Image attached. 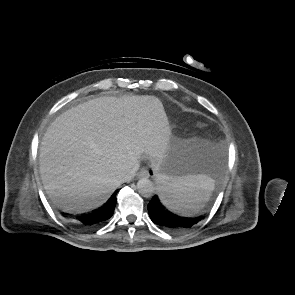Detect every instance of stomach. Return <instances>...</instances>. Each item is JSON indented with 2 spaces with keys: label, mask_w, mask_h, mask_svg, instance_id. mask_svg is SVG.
<instances>
[{
  "label": "stomach",
  "mask_w": 295,
  "mask_h": 295,
  "mask_svg": "<svg viewBox=\"0 0 295 295\" xmlns=\"http://www.w3.org/2000/svg\"><path fill=\"white\" fill-rule=\"evenodd\" d=\"M210 147L197 140H187L172 143L162 161L153 168L156 177H184L194 175H207L210 164L207 158Z\"/></svg>",
  "instance_id": "stomach-1"
}]
</instances>
